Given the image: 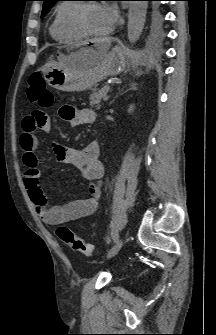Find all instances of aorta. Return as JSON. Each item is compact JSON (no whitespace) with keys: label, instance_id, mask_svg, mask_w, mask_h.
<instances>
[{"label":"aorta","instance_id":"aorta-1","mask_svg":"<svg viewBox=\"0 0 216 335\" xmlns=\"http://www.w3.org/2000/svg\"><path fill=\"white\" fill-rule=\"evenodd\" d=\"M147 7L146 1L130 2L127 25V36L130 43H135L143 31Z\"/></svg>","mask_w":216,"mask_h":335}]
</instances>
